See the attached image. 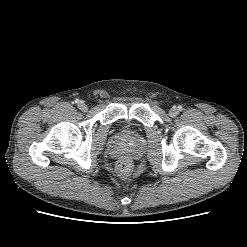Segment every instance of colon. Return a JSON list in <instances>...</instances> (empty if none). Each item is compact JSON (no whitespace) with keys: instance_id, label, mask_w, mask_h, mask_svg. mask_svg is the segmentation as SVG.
Listing matches in <instances>:
<instances>
[{"instance_id":"colon-1","label":"colon","mask_w":247,"mask_h":247,"mask_svg":"<svg viewBox=\"0 0 247 247\" xmlns=\"http://www.w3.org/2000/svg\"><path fill=\"white\" fill-rule=\"evenodd\" d=\"M117 174L121 178H127L132 172V164L128 160H120L116 164Z\"/></svg>"}]
</instances>
